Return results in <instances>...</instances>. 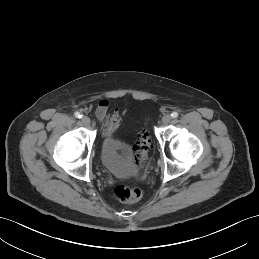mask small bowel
Returning <instances> with one entry per match:
<instances>
[{
  "mask_svg": "<svg viewBox=\"0 0 259 259\" xmlns=\"http://www.w3.org/2000/svg\"><path fill=\"white\" fill-rule=\"evenodd\" d=\"M96 117L97 120L102 124L103 135L105 137L113 136L120 124V112H110L108 100L101 99L96 108Z\"/></svg>",
  "mask_w": 259,
  "mask_h": 259,
  "instance_id": "c3829d8e",
  "label": "small bowel"
}]
</instances>
